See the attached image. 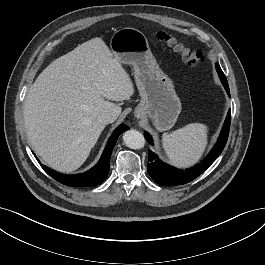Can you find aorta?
Wrapping results in <instances>:
<instances>
[{
	"mask_svg": "<svg viewBox=\"0 0 265 265\" xmlns=\"http://www.w3.org/2000/svg\"><path fill=\"white\" fill-rule=\"evenodd\" d=\"M125 145L132 149H140L145 145L144 136L137 130L131 129L123 134Z\"/></svg>",
	"mask_w": 265,
	"mask_h": 265,
	"instance_id": "aorta-1",
	"label": "aorta"
}]
</instances>
